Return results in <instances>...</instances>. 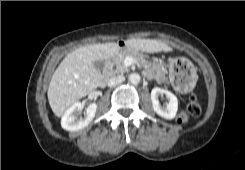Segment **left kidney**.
I'll return each mask as SVG.
<instances>
[{
    "mask_svg": "<svg viewBox=\"0 0 245 170\" xmlns=\"http://www.w3.org/2000/svg\"><path fill=\"white\" fill-rule=\"evenodd\" d=\"M160 95H165L168 99L165 106H161L159 103L158 98ZM151 101L154 111L159 116L169 120L175 118L178 110V100L173 93L159 87H154L151 91Z\"/></svg>",
    "mask_w": 245,
    "mask_h": 170,
    "instance_id": "obj_1",
    "label": "left kidney"
}]
</instances>
